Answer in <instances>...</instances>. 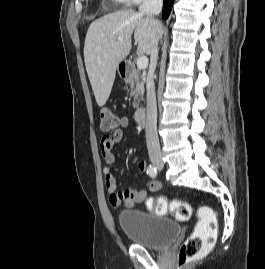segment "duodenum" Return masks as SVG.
<instances>
[{"label": "duodenum", "mask_w": 265, "mask_h": 269, "mask_svg": "<svg viewBox=\"0 0 265 269\" xmlns=\"http://www.w3.org/2000/svg\"><path fill=\"white\" fill-rule=\"evenodd\" d=\"M121 75L124 79H133L135 75L134 68L131 62L124 63L121 67ZM135 121L138 125L146 123V109L143 107L135 111Z\"/></svg>", "instance_id": "duodenum-1"}]
</instances>
